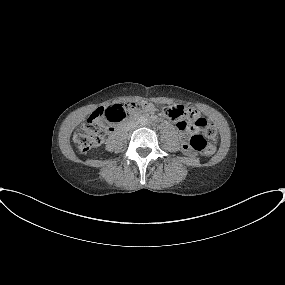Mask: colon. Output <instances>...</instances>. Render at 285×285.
<instances>
[{
    "instance_id": "obj_1",
    "label": "colon",
    "mask_w": 285,
    "mask_h": 285,
    "mask_svg": "<svg viewBox=\"0 0 285 285\" xmlns=\"http://www.w3.org/2000/svg\"><path fill=\"white\" fill-rule=\"evenodd\" d=\"M153 104L146 101L126 102L116 104L108 108H98L82 124L75 134V142L82 152H87L99 145L109 130V125L122 122L130 113L152 109ZM171 120H179L185 113V109L179 105L168 106L164 109ZM183 130L189 133L183 143L185 152H203L205 155H212L215 148L207 139H215L217 132L213 125H206L204 118L199 117L192 124L188 121L180 123ZM203 127V131H195Z\"/></svg>"
}]
</instances>
